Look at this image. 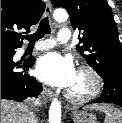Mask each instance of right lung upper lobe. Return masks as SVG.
Wrapping results in <instances>:
<instances>
[{
    "mask_svg": "<svg viewBox=\"0 0 122 123\" xmlns=\"http://www.w3.org/2000/svg\"><path fill=\"white\" fill-rule=\"evenodd\" d=\"M44 10L40 0H1V47L22 46L23 35L18 30L30 32Z\"/></svg>",
    "mask_w": 122,
    "mask_h": 123,
    "instance_id": "cb5924a9",
    "label": "right lung upper lobe"
}]
</instances>
